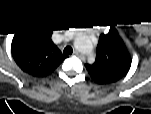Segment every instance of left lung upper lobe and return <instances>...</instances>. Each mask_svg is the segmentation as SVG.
Returning a JSON list of instances; mask_svg holds the SVG:
<instances>
[{"instance_id":"left-lung-upper-lobe-1","label":"left lung upper lobe","mask_w":151,"mask_h":114,"mask_svg":"<svg viewBox=\"0 0 151 114\" xmlns=\"http://www.w3.org/2000/svg\"><path fill=\"white\" fill-rule=\"evenodd\" d=\"M130 65V56L117 35L102 34L95 62L92 65L87 64L86 68L95 82L108 84L124 77Z\"/></svg>"}]
</instances>
